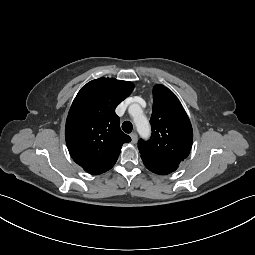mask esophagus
<instances>
[{"instance_id":"1","label":"esophagus","mask_w":255,"mask_h":255,"mask_svg":"<svg viewBox=\"0 0 255 255\" xmlns=\"http://www.w3.org/2000/svg\"><path fill=\"white\" fill-rule=\"evenodd\" d=\"M130 137L132 139V143H136L137 142L138 136H137V134L135 132L131 133Z\"/></svg>"}]
</instances>
